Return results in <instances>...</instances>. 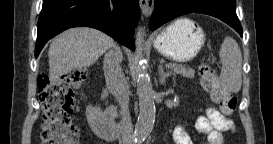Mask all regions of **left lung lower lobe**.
<instances>
[{
	"label": "left lung lower lobe",
	"mask_w": 273,
	"mask_h": 144,
	"mask_svg": "<svg viewBox=\"0 0 273 144\" xmlns=\"http://www.w3.org/2000/svg\"><path fill=\"white\" fill-rule=\"evenodd\" d=\"M192 12L219 18L243 35L235 0H155L149 28L153 31L175 17Z\"/></svg>",
	"instance_id": "obj_1"
}]
</instances>
